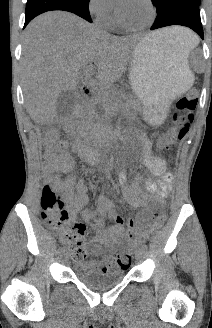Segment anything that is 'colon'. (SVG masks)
Listing matches in <instances>:
<instances>
[{
    "label": "colon",
    "mask_w": 212,
    "mask_h": 328,
    "mask_svg": "<svg viewBox=\"0 0 212 328\" xmlns=\"http://www.w3.org/2000/svg\"><path fill=\"white\" fill-rule=\"evenodd\" d=\"M198 103V91L191 89L177 103V112L174 115L173 124L165 136L159 141L161 149H169L177 145L187 135L193 119L194 111ZM59 143V133L55 130L49 131L44 137V144L55 146ZM41 208L43 219L58 232L60 241L68 248L75 259H80L86 254L87 243L84 239L85 226L81 223L69 225L70 215L64 208V202L60 193L49 185L42 189ZM155 215V223L149 233L161 228L166 221V214L159 205L151 208ZM144 235L140 240H144ZM133 248V247H132ZM131 248V249H132ZM131 256L129 252L118 255L117 266L126 270L130 267Z\"/></svg>",
    "instance_id": "colon-1"
}]
</instances>
